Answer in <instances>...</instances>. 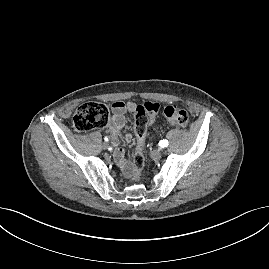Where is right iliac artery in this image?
<instances>
[{"mask_svg": "<svg viewBox=\"0 0 269 269\" xmlns=\"http://www.w3.org/2000/svg\"><path fill=\"white\" fill-rule=\"evenodd\" d=\"M104 140L107 142L109 140V138L108 137H105Z\"/></svg>", "mask_w": 269, "mask_h": 269, "instance_id": "1", "label": "right iliac artery"}]
</instances>
